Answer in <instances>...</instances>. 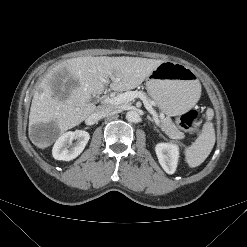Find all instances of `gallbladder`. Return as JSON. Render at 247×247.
Wrapping results in <instances>:
<instances>
[{
	"label": "gallbladder",
	"mask_w": 247,
	"mask_h": 247,
	"mask_svg": "<svg viewBox=\"0 0 247 247\" xmlns=\"http://www.w3.org/2000/svg\"><path fill=\"white\" fill-rule=\"evenodd\" d=\"M50 84L53 86V91L56 96L60 99H66L69 94V90L76 87L78 82L69 77V73L67 71H64L58 72L50 81ZM63 88L64 90H62Z\"/></svg>",
	"instance_id": "obj_1"
}]
</instances>
